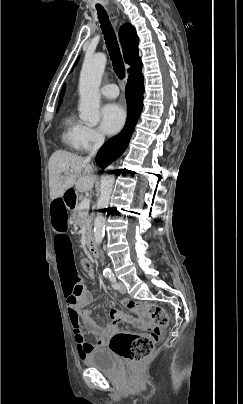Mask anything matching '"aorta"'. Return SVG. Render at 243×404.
<instances>
[{
  "instance_id": "1",
  "label": "aorta",
  "mask_w": 243,
  "mask_h": 404,
  "mask_svg": "<svg viewBox=\"0 0 243 404\" xmlns=\"http://www.w3.org/2000/svg\"><path fill=\"white\" fill-rule=\"evenodd\" d=\"M107 58L105 54H94L90 58H85L79 80V118L82 122H87L88 126H97L100 122L99 88L105 70ZM105 166L103 168L100 186V196L97 200L95 220H94V240L100 246L105 234V218L107 217L108 204L110 202L113 182L114 168Z\"/></svg>"
}]
</instances>
